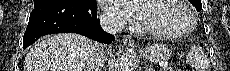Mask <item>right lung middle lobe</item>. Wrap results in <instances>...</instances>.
<instances>
[{
  "mask_svg": "<svg viewBox=\"0 0 230 71\" xmlns=\"http://www.w3.org/2000/svg\"><path fill=\"white\" fill-rule=\"evenodd\" d=\"M37 1L38 0H35V2H37ZM77 1L83 2V3L88 4V5H92V4L96 3V0H77Z\"/></svg>",
  "mask_w": 230,
  "mask_h": 71,
  "instance_id": "right-lung-middle-lobe-1",
  "label": "right lung middle lobe"
}]
</instances>
